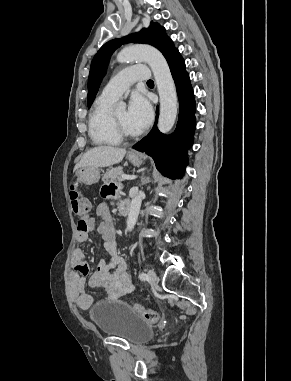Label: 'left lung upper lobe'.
Here are the masks:
<instances>
[{"mask_svg": "<svg viewBox=\"0 0 291 381\" xmlns=\"http://www.w3.org/2000/svg\"><path fill=\"white\" fill-rule=\"evenodd\" d=\"M129 41L150 44L156 47L162 52L166 60H168L177 51L172 40L165 34V28L154 22H151L149 28H144L138 33L122 39H115L107 42L97 52L91 63L88 78V107H90L99 90V86L106 72L110 56L121 44Z\"/></svg>", "mask_w": 291, "mask_h": 381, "instance_id": "obj_1", "label": "left lung upper lobe"}]
</instances>
